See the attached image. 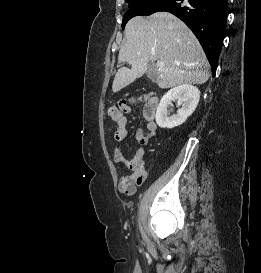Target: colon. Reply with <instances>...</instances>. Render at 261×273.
I'll return each instance as SVG.
<instances>
[{"instance_id": "1", "label": "colon", "mask_w": 261, "mask_h": 273, "mask_svg": "<svg viewBox=\"0 0 261 273\" xmlns=\"http://www.w3.org/2000/svg\"><path fill=\"white\" fill-rule=\"evenodd\" d=\"M130 105H131L130 99L128 98L121 99L118 105H114L109 108V111H108L109 117L113 121L118 122L125 116L126 113L129 112Z\"/></svg>"}]
</instances>
